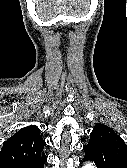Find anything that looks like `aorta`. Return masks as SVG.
Segmentation results:
<instances>
[{
	"instance_id": "1",
	"label": "aorta",
	"mask_w": 127,
	"mask_h": 168,
	"mask_svg": "<svg viewBox=\"0 0 127 168\" xmlns=\"http://www.w3.org/2000/svg\"><path fill=\"white\" fill-rule=\"evenodd\" d=\"M83 168H94V166L91 163H86Z\"/></svg>"
}]
</instances>
